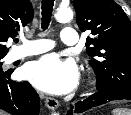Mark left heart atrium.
<instances>
[{
    "instance_id": "obj_1",
    "label": "left heart atrium",
    "mask_w": 131,
    "mask_h": 115,
    "mask_svg": "<svg viewBox=\"0 0 131 115\" xmlns=\"http://www.w3.org/2000/svg\"><path fill=\"white\" fill-rule=\"evenodd\" d=\"M24 76L38 89L54 94L71 91L78 80L76 66L55 55H46L27 65Z\"/></svg>"
}]
</instances>
